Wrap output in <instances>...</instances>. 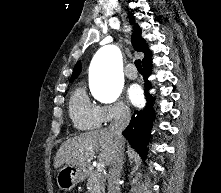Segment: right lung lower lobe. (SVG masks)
I'll list each match as a JSON object with an SVG mask.
<instances>
[{"mask_svg":"<svg viewBox=\"0 0 221 193\" xmlns=\"http://www.w3.org/2000/svg\"><path fill=\"white\" fill-rule=\"evenodd\" d=\"M151 72V62L143 64V78L145 80V95L147 104L144 109L135 111L129 125L122 132L124 137L129 141L130 145L137 150L143 157L147 154V140L151 129L152 120L154 118L153 98L148 95L150 84L147 78Z\"/></svg>","mask_w":221,"mask_h":193,"instance_id":"1","label":"right lung lower lobe"}]
</instances>
